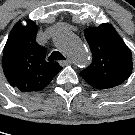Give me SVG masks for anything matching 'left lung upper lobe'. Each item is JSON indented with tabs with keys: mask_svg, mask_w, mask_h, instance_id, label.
I'll return each mask as SVG.
<instances>
[{
	"mask_svg": "<svg viewBox=\"0 0 135 135\" xmlns=\"http://www.w3.org/2000/svg\"><path fill=\"white\" fill-rule=\"evenodd\" d=\"M85 38L92 53L91 65L80 75L96 89L120 85L132 73V53L109 23L86 28Z\"/></svg>",
	"mask_w": 135,
	"mask_h": 135,
	"instance_id": "1",
	"label": "left lung upper lobe"
}]
</instances>
